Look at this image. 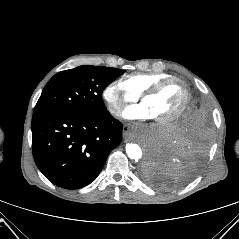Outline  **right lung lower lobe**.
Returning <instances> with one entry per match:
<instances>
[{
    "mask_svg": "<svg viewBox=\"0 0 239 239\" xmlns=\"http://www.w3.org/2000/svg\"><path fill=\"white\" fill-rule=\"evenodd\" d=\"M123 125L109 111L33 113L36 165L53 184L78 189L93 182L109 153L122 141Z\"/></svg>",
    "mask_w": 239,
    "mask_h": 239,
    "instance_id": "1",
    "label": "right lung lower lobe"
}]
</instances>
